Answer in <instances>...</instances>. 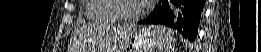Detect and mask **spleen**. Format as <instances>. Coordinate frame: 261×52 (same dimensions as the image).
<instances>
[{
    "mask_svg": "<svg viewBox=\"0 0 261 52\" xmlns=\"http://www.w3.org/2000/svg\"><path fill=\"white\" fill-rule=\"evenodd\" d=\"M151 28L155 29L158 37V51L170 52V50H173V32H166V29L161 26Z\"/></svg>",
    "mask_w": 261,
    "mask_h": 52,
    "instance_id": "spleen-1",
    "label": "spleen"
}]
</instances>
